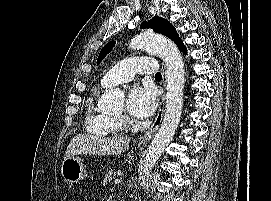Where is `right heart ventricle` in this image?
<instances>
[{"label":"right heart ventricle","mask_w":271,"mask_h":201,"mask_svg":"<svg viewBox=\"0 0 271 201\" xmlns=\"http://www.w3.org/2000/svg\"><path fill=\"white\" fill-rule=\"evenodd\" d=\"M97 92L88 99L85 118L86 130L96 136H108L118 134L123 130V124L119 118L103 112L95 105Z\"/></svg>","instance_id":"1"}]
</instances>
